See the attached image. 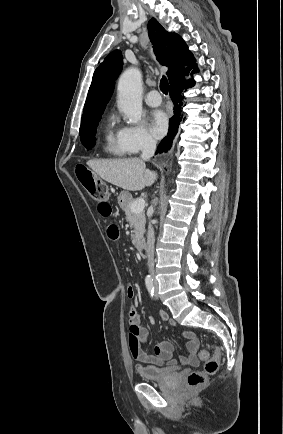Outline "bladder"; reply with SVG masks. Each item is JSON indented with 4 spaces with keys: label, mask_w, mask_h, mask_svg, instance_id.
Wrapping results in <instances>:
<instances>
[{
    "label": "bladder",
    "mask_w": 283,
    "mask_h": 434,
    "mask_svg": "<svg viewBox=\"0 0 283 434\" xmlns=\"http://www.w3.org/2000/svg\"><path fill=\"white\" fill-rule=\"evenodd\" d=\"M178 373L176 367H157V366H145L139 375L144 381L149 382H161L175 376Z\"/></svg>",
    "instance_id": "1"
}]
</instances>
